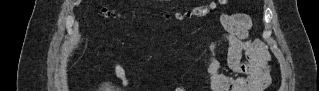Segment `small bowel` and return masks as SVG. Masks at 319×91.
<instances>
[{
	"mask_svg": "<svg viewBox=\"0 0 319 91\" xmlns=\"http://www.w3.org/2000/svg\"><path fill=\"white\" fill-rule=\"evenodd\" d=\"M222 23L227 33L210 46L209 57L205 63L209 84L218 91L263 90L270 82L268 54L260 40L249 38V31L252 28L251 19L243 14H230L222 17ZM221 42L230 45L228 68L242 75L225 74L222 65L214 58L215 50ZM242 52L247 55L248 62L242 61ZM113 68L120 84L124 87L128 86L130 81L127 71L119 64H115Z\"/></svg>",
	"mask_w": 319,
	"mask_h": 91,
	"instance_id": "small-bowel-1",
	"label": "small bowel"
}]
</instances>
